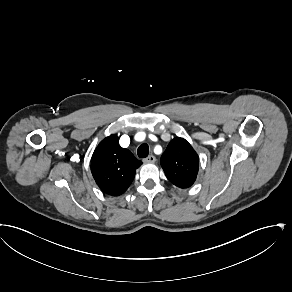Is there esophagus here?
I'll use <instances>...</instances> for the list:
<instances>
[{
  "label": "esophagus",
  "instance_id": "obj_1",
  "mask_svg": "<svg viewBox=\"0 0 292 292\" xmlns=\"http://www.w3.org/2000/svg\"><path fill=\"white\" fill-rule=\"evenodd\" d=\"M156 161V158L153 155H150L143 159L144 163H154Z\"/></svg>",
  "mask_w": 292,
  "mask_h": 292
}]
</instances>
